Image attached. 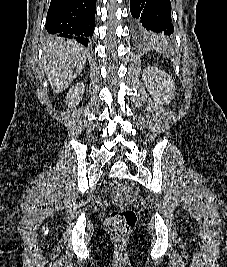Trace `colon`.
<instances>
[{"instance_id": "1", "label": "colon", "mask_w": 227, "mask_h": 267, "mask_svg": "<svg viewBox=\"0 0 227 267\" xmlns=\"http://www.w3.org/2000/svg\"><path fill=\"white\" fill-rule=\"evenodd\" d=\"M132 198L131 187L127 183H118L113 188L112 200L114 203L124 206ZM136 212L128 208H120L112 211L105 221V228L115 243H125L136 224Z\"/></svg>"}]
</instances>
